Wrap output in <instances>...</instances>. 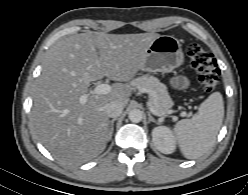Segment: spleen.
<instances>
[{
  "mask_svg": "<svg viewBox=\"0 0 248 195\" xmlns=\"http://www.w3.org/2000/svg\"><path fill=\"white\" fill-rule=\"evenodd\" d=\"M224 117L223 97L212 93L199 106L191 119H183L173 127L180 151L188 159L206 154L214 145Z\"/></svg>",
  "mask_w": 248,
  "mask_h": 195,
  "instance_id": "obj_1",
  "label": "spleen"
}]
</instances>
